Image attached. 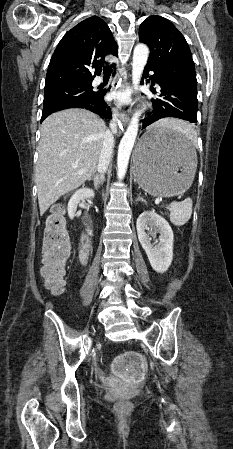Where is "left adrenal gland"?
<instances>
[{
	"label": "left adrenal gland",
	"instance_id": "obj_1",
	"mask_svg": "<svg viewBox=\"0 0 233 449\" xmlns=\"http://www.w3.org/2000/svg\"><path fill=\"white\" fill-rule=\"evenodd\" d=\"M138 201L144 202V200L140 196H138V198L136 199V202Z\"/></svg>",
	"mask_w": 233,
	"mask_h": 449
}]
</instances>
